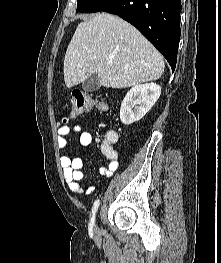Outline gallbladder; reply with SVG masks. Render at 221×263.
Here are the masks:
<instances>
[{
    "label": "gallbladder",
    "instance_id": "gallbladder-1",
    "mask_svg": "<svg viewBox=\"0 0 221 263\" xmlns=\"http://www.w3.org/2000/svg\"><path fill=\"white\" fill-rule=\"evenodd\" d=\"M100 86V78L96 73L90 75L82 84V88L85 92L97 91Z\"/></svg>",
    "mask_w": 221,
    "mask_h": 263
}]
</instances>
